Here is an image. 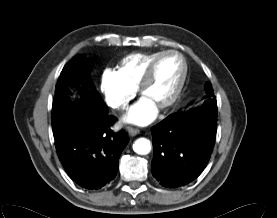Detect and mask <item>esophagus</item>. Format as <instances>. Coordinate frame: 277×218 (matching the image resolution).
I'll list each match as a JSON object with an SVG mask.
<instances>
[{
	"label": "esophagus",
	"instance_id": "esophagus-1",
	"mask_svg": "<svg viewBox=\"0 0 277 218\" xmlns=\"http://www.w3.org/2000/svg\"><path fill=\"white\" fill-rule=\"evenodd\" d=\"M127 132L131 136H136L139 134V129L133 128V127H127Z\"/></svg>",
	"mask_w": 277,
	"mask_h": 218
}]
</instances>
